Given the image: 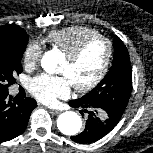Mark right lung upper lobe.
Listing matches in <instances>:
<instances>
[{
	"label": "right lung upper lobe",
	"instance_id": "obj_1",
	"mask_svg": "<svg viewBox=\"0 0 153 153\" xmlns=\"http://www.w3.org/2000/svg\"><path fill=\"white\" fill-rule=\"evenodd\" d=\"M27 33L23 28L17 25L7 24L0 26V36H15Z\"/></svg>",
	"mask_w": 153,
	"mask_h": 153
}]
</instances>
